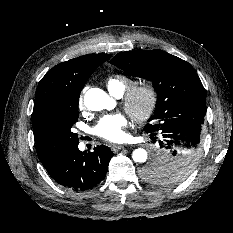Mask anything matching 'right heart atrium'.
<instances>
[{
	"instance_id": "right-heart-atrium-1",
	"label": "right heart atrium",
	"mask_w": 233,
	"mask_h": 233,
	"mask_svg": "<svg viewBox=\"0 0 233 233\" xmlns=\"http://www.w3.org/2000/svg\"><path fill=\"white\" fill-rule=\"evenodd\" d=\"M78 105L81 108L83 106V94L80 95Z\"/></svg>"
}]
</instances>
